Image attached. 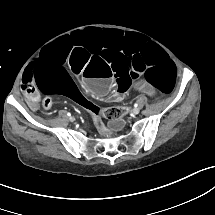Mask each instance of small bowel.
Wrapping results in <instances>:
<instances>
[{
    "label": "small bowel",
    "instance_id": "small-bowel-1",
    "mask_svg": "<svg viewBox=\"0 0 215 215\" xmlns=\"http://www.w3.org/2000/svg\"><path fill=\"white\" fill-rule=\"evenodd\" d=\"M124 95L120 92H114L112 98L117 101L121 102L123 100ZM39 98L37 96H30L28 99V103L32 109H36L38 107ZM77 102V100H76Z\"/></svg>",
    "mask_w": 215,
    "mask_h": 215
}]
</instances>
